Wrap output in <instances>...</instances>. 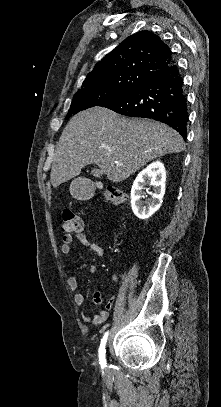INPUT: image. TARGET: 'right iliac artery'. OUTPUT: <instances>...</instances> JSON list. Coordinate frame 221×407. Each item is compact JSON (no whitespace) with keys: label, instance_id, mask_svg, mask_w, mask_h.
Masks as SVG:
<instances>
[{"label":"right iliac artery","instance_id":"82829eb1","mask_svg":"<svg viewBox=\"0 0 221 407\" xmlns=\"http://www.w3.org/2000/svg\"><path fill=\"white\" fill-rule=\"evenodd\" d=\"M107 337H108V332L105 333L103 339L101 340V344H100V347H99V361H100V365H101L102 367H105V366H106V360H105V352H106V350H105V345H106V342H107Z\"/></svg>","mask_w":221,"mask_h":407}]
</instances>
